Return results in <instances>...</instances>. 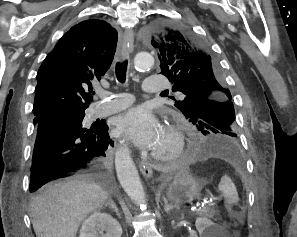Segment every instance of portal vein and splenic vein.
Segmentation results:
<instances>
[{
    "label": "portal vein and splenic vein",
    "instance_id": "18ae733b",
    "mask_svg": "<svg viewBox=\"0 0 297 237\" xmlns=\"http://www.w3.org/2000/svg\"><path fill=\"white\" fill-rule=\"evenodd\" d=\"M197 207L198 208L204 207V204L203 203H198Z\"/></svg>",
    "mask_w": 297,
    "mask_h": 237
}]
</instances>
